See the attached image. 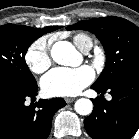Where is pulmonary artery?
<instances>
[{
  "mask_svg": "<svg viewBox=\"0 0 139 139\" xmlns=\"http://www.w3.org/2000/svg\"><path fill=\"white\" fill-rule=\"evenodd\" d=\"M92 46H93V44H88V45H86V47L83 49V52H84V53L89 52L90 49L92 48Z\"/></svg>",
  "mask_w": 139,
  "mask_h": 139,
  "instance_id": "obj_1",
  "label": "pulmonary artery"
}]
</instances>
